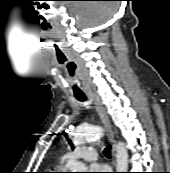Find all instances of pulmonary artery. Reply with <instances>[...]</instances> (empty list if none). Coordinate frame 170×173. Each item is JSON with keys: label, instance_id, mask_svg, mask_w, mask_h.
<instances>
[{"label": "pulmonary artery", "instance_id": "e3ab8cb5", "mask_svg": "<svg viewBox=\"0 0 170 173\" xmlns=\"http://www.w3.org/2000/svg\"><path fill=\"white\" fill-rule=\"evenodd\" d=\"M97 158L98 154L93 147H78L74 151L65 154L63 160L70 162L81 159L87 162H92L97 160Z\"/></svg>", "mask_w": 170, "mask_h": 173}]
</instances>
